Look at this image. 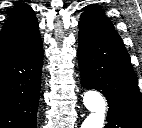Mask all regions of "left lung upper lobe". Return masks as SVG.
<instances>
[{
	"label": "left lung upper lobe",
	"instance_id": "left-lung-upper-lobe-1",
	"mask_svg": "<svg viewBox=\"0 0 142 128\" xmlns=\"http://www.w3.org/2000/svg\"><path fill=\"white\" fill-rule=\"evenodd\" d=\"M79 23H83L105 36L121 39L112 23L105 16L104 11L95 7L94 4L88 5L85 8L84 13L80 17Z\"/></svg>",
	"mask_w": 142,
	"mask_h": 128
}]
</instances>
